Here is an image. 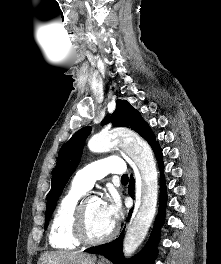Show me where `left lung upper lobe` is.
Segmentation results:
<instances>
[{
  "label": "left lung upper lobe",
  "mask_w": 221,
  "mask_h": 264,
  "mask_svg": "<svg viewBox=\"0 0 221 264\" xmlns=\"http://www.w3.org/2000/svg\"><path fill=\"white\" fill-rule=\"evenodd\" d=\"M108 122H112L114 127H127L136 131L150 144L152 149L158 144L148 123L126 100L119 99L116 101V110L110 117H106L102 124H107ZM90 132L91 127L80 129L59 151L57 165L52 175L51 190L47 195L45 228L48 226L59 196L80 162L84 142Z\"/></svg>",
  "instance_id": "1"
}]
</instances>
